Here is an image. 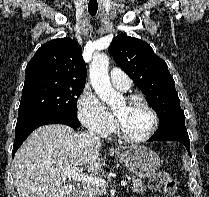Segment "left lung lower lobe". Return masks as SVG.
<instances>
[{
    "label": "left lung lower lobe",
    "instance_id": "obj_1",
    "mask_svg": "<svg viewBox=\"0 0 209 197\" xmlns=\"http://www.w3.org/2000/svg\"><path fill=\"white\" fill-rule=\"evenodd\" d=\"M159 140L181 142L190 154V139L185 127V119H176L166 122L159 127L148 142Z\"/></svg>",
    "mask_w": 209,
    "mask_h": 197
}]
</instances>
